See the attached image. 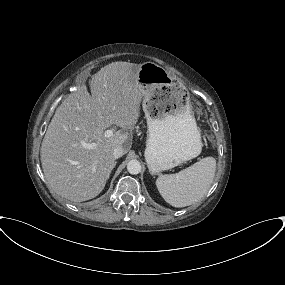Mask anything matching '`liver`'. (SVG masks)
Listing matches in <instances>:
<instances>
[{
    "instance_id": "liver-1",
    "label": "liver",
    "mask_w": 285,
    "mask_h": 285,
    "mask_svg": "<svg viewBox=\"0 0 285 285\" xmlns=\"http://www.w3.org/2000/svg\"><path fill=\"white\" fill-rule=\"evenodd\" d=\"M138 68L128 62L110 63L91 79V95L85 85L80 86L57 108L40 156L45 178L58 195L74 202L95 198L116 165L114 149L130 150L142 101L133 75ZM112 125L122 129L107 138L104 131ZM83 143L96 147L86 149Z\"/></svg>"
}]
</instances>
